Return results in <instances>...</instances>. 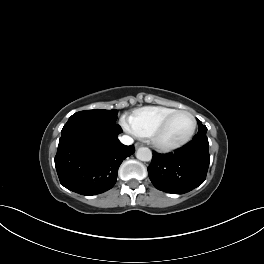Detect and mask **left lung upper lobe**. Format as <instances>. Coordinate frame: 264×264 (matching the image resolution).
Wrapping results in <instances>:
<instances>
[{"instance_id":"1","label":"left lung upper lobe","mask_w":264,"mask_h":264,"mask_svg":"<svg viewBox=\"0 0 264 264\" xmlns=\"http://www.w3.org/2000/svg\"><path fill=\"white\" fill-rule=\"evenodd\" d=\"M197 121H198V129H199L198 133H206L207 127L203 125L200 120L197 119Z\"/></svg>"}]
</instances>
